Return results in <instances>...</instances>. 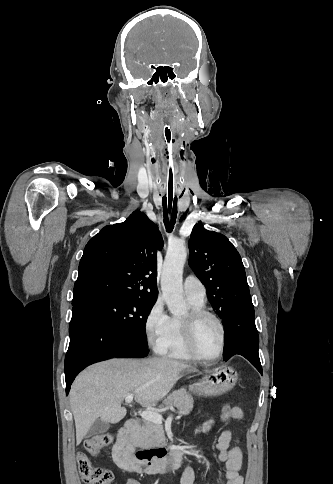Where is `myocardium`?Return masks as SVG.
I'll use <instances>...</instances> for the list:
<instances>
[{"mask_svg":"<svg viewBox=\"0 0 333 484\" xmlns=\"http://www.w3.org/2000/svg\"><path fill=\"white\" fill-rule=\"evenodd\" d=\"M210 318L217 324L220 330V346L218 352L213 357H205L200 354L196 346V328L200 321ZM183 336L189 352L199 361L212 363L217 361L224 353L226 345V329L222 320L213 312L202 309H192L182 318Z\"/></svg>","mask_w":333,"mask_h":484,"instance_id":"f54148a6","label":"myocardium"}]
</instances>
